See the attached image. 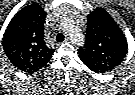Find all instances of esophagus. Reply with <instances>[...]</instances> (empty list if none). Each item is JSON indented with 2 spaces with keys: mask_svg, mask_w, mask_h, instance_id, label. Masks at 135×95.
<instances>
[{
  "mask_svg": "<svg viewBox=\"0 0 135 95\" xmlns=\"http://www.w3.org/2000/svg\"><path fill=\"white\" fill-rule=\"evenodd\" d=\"M64 42H65V43H71V39L66 38V39L64 40Z\"/></svg>",
  "mask_w": 135,
  "mask_h": 95,
  "instance_id": "obj_1",
  "label": "esophagus"
}]
</instances>
